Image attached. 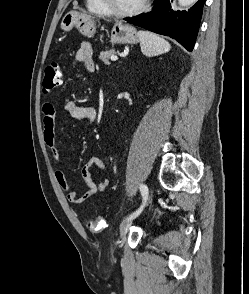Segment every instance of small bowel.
<instances>
[{
    "mask_svg": "<svg viewBox=\"0 0 249 294\" xmlns=\"http://www.w3.org/2000/svg\"><path fill=\"white\" fill-rule=\"evenodd\" d=\"M74 59L76 62L83 63L87 71H95L93 50L90 43L82 42L75 52ZM63 109L65 114L70 118L85 120L89 123H93L96 120L97 112L95 108L79 106L70 99L64 100ZM42 115L45 143L48 146L54 161L59 163L61 160V153L55 133L56 110L54 105L50 102L44 103L42 105ZM92 168H98L103 172L107 171L106 163L101 158H90L81 168V177L87 186V189L82 194H79L78 191L68 183L62 169L55 170V179L59 187L65 192L66 198L69 202L81 204L91 196L104 192L109 187L110 180L108 178H103L97 183L94 182L91 174Z\"/></svg>",
    "mask_w": 249,
    "mask_h": 294,
    "instance_id": "small-bowel-1",
    "label": "small bowel"
}]
</instances>
